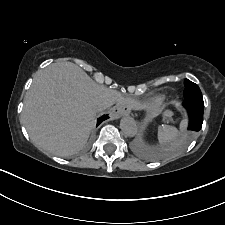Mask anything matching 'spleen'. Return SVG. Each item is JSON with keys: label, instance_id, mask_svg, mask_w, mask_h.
Listing matches in <instances>:
<instances>
[{"label": "spleen", "instance_id": "1", "mask_svg": "<svg viewBox=\"0 0 225 225\" xmlns=\"http://www.w3.org/2000/svg\"><path fill=\"white\" fill-rule=\"evenodd\" d=\"M187 126V121L184 119L180 123V130L184 131ZM178 130L170 125L159 126L158 128V140L161 144H166L173 141L178 136Z\"/></svg>", "mask_w": 225, "mask_h": 225}]
</instances>
